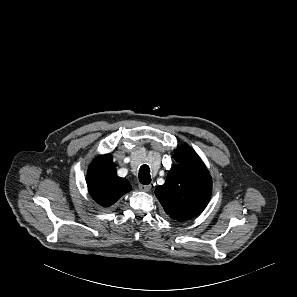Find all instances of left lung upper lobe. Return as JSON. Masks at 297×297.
I'll return each instance as SVG.
<instances>
[{
	"instance_id": "left-lung-upper-lobe-1",
	"label": "left lung upper lobe",
	"mask_w": 297,
	"mask_h": 297,
	"mask_svg": "<svg viewBox=\"0 0 297 297\" xmlns=\"http://www.w3.org/2000/svg\"><path fill=\"white\" fill-rule=\"evenodd\" d=\"M175 160L177 164L169 170L165 184L155 189V194L172 219L185 221L199 215L207 206L212 180L191 147L180 148Z\"/></svg>"
}]
</instances>
